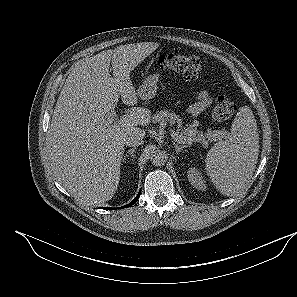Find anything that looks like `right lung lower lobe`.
I'll return each mask as SVG.
<instances>
[{"label":"right lung lower lobe","mask_w":297,"mask_h":297,"mask_svg":"<svg viewBox=\"0 0 297 297\" xmlns=\"http://www.w3.org/2000/svg\"><path fill=\"white\" fill-rule=\"evenodd\" d=\"M139 196H140V192L138 193V195L136 196V198H135L131 203H129L128 205H125V206H123V207H121V208H127V207L133 205V204L139 199ZM105 209H106V208H105ZM107 209H108V208H107Z\"/></svg>","instance_id":"obj_1"}]
</instances>
